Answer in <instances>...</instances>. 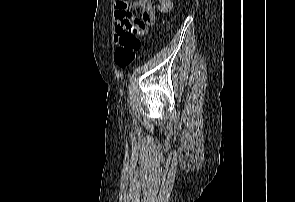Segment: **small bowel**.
I'll return each mask as SVG.
<instances>
[{
	"label": "small bowel",
	"mask_w": 295,
	"mask_h": 202,
	"mask_svg": "<svg viewBox=\"0 0 295 202\" xmlns=\"http://www.w3.org/2000/svg\"><path fill=\"white\" fill-rule=\"evenodd\" d=\"M172 7L171 0H158L157 4H154L151 0H116L114 8L115 35L119 36L129 25L138 28L150 25L155 21L156 11L167 13ZM136 10L143 12L142 20L135 14Z\"/></svg>",
	"instance_id": "1"
}]
</instances>
